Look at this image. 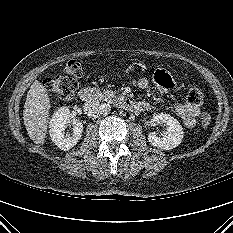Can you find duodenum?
<instances>
[{"label":"duodenum","mask_w":233,"mask_h":233,"mask_svg":"<svg viewBox=\"0 0 233 233\" xmlns=\"http://www.w3.org/2000/svg\"><path fill=\"white\" fill-rule=\"evenodd\" d=\"M79 97L84 102H92L102 97V93L97 89L87 87L80 90ZM115 99L117 103L126 110L137 111L140 109L139 103L130 98L117 96Z\"/></svg>","instance_id":"1"}]
</instances>
